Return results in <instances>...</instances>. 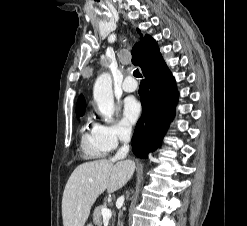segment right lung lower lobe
I'll use <instances>...</instances> for the list:
<instances>
[{"mask_svg":"<svg viewBox=\"0 0 247 226\" xmlns=\"http://www.w3.org/2000/svg\"><path fill=\"white\" fill-rule=\"evenodd\" d=\"M142 72L145 79L140 84L139 94L143 113L135 128L132 149L136 156L147 158L149 152L160 146L174 117L178 93L158 46L150 50Z\"/></svg>","mask_w":247,"mask_h":226,"instance_id":"right-lung-lower-lobe-1","label":"right lung lower lobe"}]
</instances>
